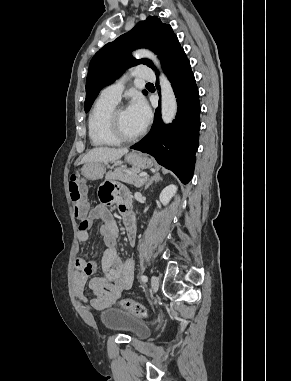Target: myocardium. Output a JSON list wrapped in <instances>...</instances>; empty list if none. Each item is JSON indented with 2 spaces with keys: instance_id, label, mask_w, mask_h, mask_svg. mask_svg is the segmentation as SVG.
<instances>
[{
  "instance_id": "obj_1",
  "label": "myocardium",
  "mask_w": 291,
  "mask_h": 381,
  "mask_svg": "<svg viewBox=\"0 0 291 381\" xmlns=\"http://www.w3.org/2000/svg\"><path fill=\"white\" fill-rule=\"evenodd\" d=\"M126 109L123 105H116L109 113L107 119V129L110 135L119 143H131L139 140L145 133V129H142L138 134L134 136L124 135L119 127L118 116L119 113Z\"/></svg>"
}]
</instances>
